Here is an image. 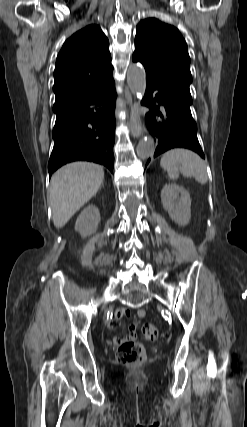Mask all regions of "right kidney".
<instances>
[{
	"instance_id": "ca27d5eb",
	"label": "right kidney",
	"mask_w": 247,
	"mask_h": 427,
	"mask_svg": "<svg viewBox=\"0 0 247 427\" xmlns=\"http://www.w3.org/2000/svg\"><path fill=\"white\" fill-rule=\"evenodd\" d=\"M99 222V209L95 205H89L78 216L75 223V230L85 238L96 232Z\"/></svg>"
}]
</instances>
